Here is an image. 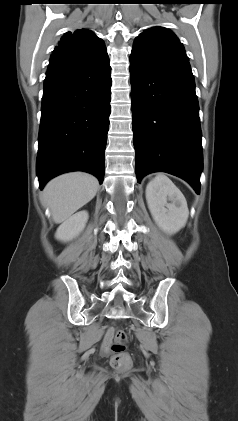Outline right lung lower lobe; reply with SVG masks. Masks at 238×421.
I'll return each mask as SVG.
<instances>
[{
  "label": "right lung lower lobe",
  "mask_w": 238,
  "mask_h": 421,
  "mask_svg": "<svg viewBox=\"0 0 238 421\" xmlns=\"http://www.w3.org/2000/svg\"><path fill=\"white\" fill-rule=\"evenodd\" d=\"M109 58L49 64L44 81L37 175L85 171L104 178L111 101Z\"/></svg>",
  "instance_id": "right-lung-lower-lobe-1"
}]
</instances>
